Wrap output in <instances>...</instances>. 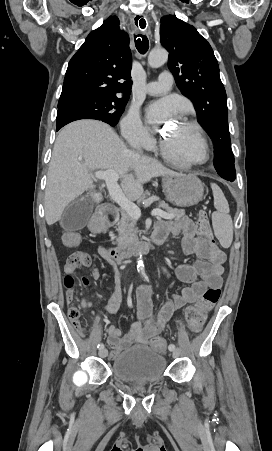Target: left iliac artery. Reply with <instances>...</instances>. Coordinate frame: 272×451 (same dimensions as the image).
I'll return each mask as SVG.
<instances>
[{"mask_svg":"<svg viewBox=\"0 0 272 451\" xmlns=\"http://www.w3.org/2000/svg\"><path fill=\"white\" fill-rule=\"evenodd\" d=\"M175 348H176V347H175L174 344H170L169 347H168V349H169L170 351H173Z\"/></svg>","mask_w":272,"mask_h":451,"instance_id":"obj_1","label":"left iliac artery"}]
</instances>
